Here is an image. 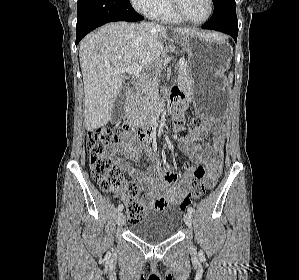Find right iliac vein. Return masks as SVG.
Returning <instances> with one entry per match:
<instances>
[{
    "label": "right iliac vein",
    "instance_id": "63e3f726",
    "mask_svg": "<svg viewBox=\"0 0 299 280\" xmlns=\"http://www.w3.org/2000/svg\"><path fill=\"white\" fill-rule=\"evenodd\" d=\"M117 222H118V225H119V226H123V225L125 224L126 219H125V216H124L123 213L120 212V213L118 214Z\"/></svg>",
    "mask_w": 299,
    "mask_h": 280
}]
</instances>
